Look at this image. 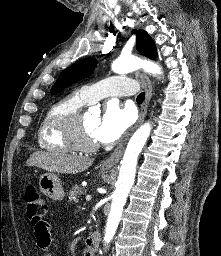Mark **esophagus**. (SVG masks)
Wrapping results in <instances>:
<instances>
[{
    "instance_id": "1",
    "label": "esophagus",
    "mask_w": 221,
    "mask_h": 256,
    "mask_svg": "<svg viewBox=\"0 0 221 256\" xmlns=\"http://www.w3.org/2000/svg\"><path fill=\"white\" fill-rule=\"evenodd\" d=\"M140 77H141V81H142L143 87L146 92V96H145V100L141 106L139 119H138L137 123L125 135V137L123 138L121 143L116 147V149L113 151V153L106 160L103 161V163H102L103 167L112 168V167L116 166V164L119 162V160L121 159V157L123 155L125 145L129 139L130 135L145 119V116L147 114V108H148V105H149V102L151 100L152 93H153V86H152L151 80L149 79V77L146 74L141 73Z\"/></svg>"
}]
</instances>
